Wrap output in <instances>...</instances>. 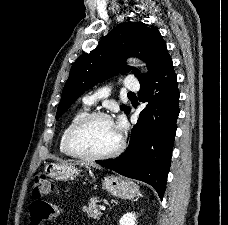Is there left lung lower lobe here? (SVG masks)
Segmentation results:
<instances>
[{
	"label": "left lung lower lobe",
	"instance_id": "obj_1",
	"mask_svg": "<svg viewBox=\"0 0 228 225\" xmlns=\"http://www.w3.org/2000/svg\"><path fill=\"white\" fill-rule=\"evenodd\" d=\"M140 85L139 100L148 104L133 127L126 151L115 159L96 162L126 177L150 184L162 199L179 115L180 94L170 55Z\"/></svg>",
	"mask_w": 228,
	"mask_h": 225
}]
</instances>
